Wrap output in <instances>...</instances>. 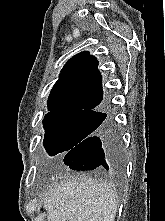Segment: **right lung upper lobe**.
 <instances>
[{"label": "right lung upper lobe", "instance_id": "right-lung-upper-lobe-1", "mask_svg": "<svg viewBox=\"0 0 165 221\" xmlns=\"http://www.w3.org/2000/svg\"><path fill=\"white\" fill-rule=\"evenodd\" d=\"M98 61L89 52L73 56L63 67L48 98L51 112H96L103 98Z\"/></svg>", "mask_w": 165, "mask_h": 221}]
</instances>
